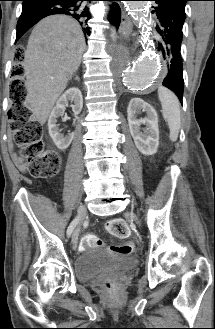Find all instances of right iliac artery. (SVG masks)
<instances>
[{
  "mask_svg": "<svg viewBox=\"0 0 215 329\" xmlns=\"http://www.w3.org/2000/svg\"><path fill=\"white\" fill-rule=\"evenodd\" d=\"M79 219L75 218L69 225L68 229H67V236L70 237L75 226L78 224Z\"/></svg>",
  "mask_w": 215,
  "mask_h": 329,
  "instance_id": "1",
  "label": "right iliac artery"
}]
</instances>
